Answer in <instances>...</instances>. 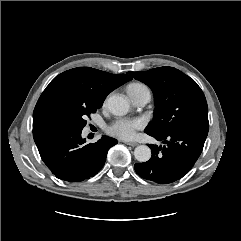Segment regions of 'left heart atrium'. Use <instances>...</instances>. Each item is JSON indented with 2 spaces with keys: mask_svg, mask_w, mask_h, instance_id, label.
<instances>
[{
  "mask_svg": "<svg viewBox=\"0 0 241 241\" xmlns=\"http://www.w3.org/2000/svg\"><path fill=\"white\" fill-rule=\"evenodd\" d=\"M145 122L141 118L119 117L112 121L106 128L107 132L121 139H132L137 130L142 129Z\"/></svg>",
  "mask_w": 241,
  "mask_h": 241,
  "instance_id": "left-heart-atrium-1",
  "label": "left heart atrium"
}]
</instances>
